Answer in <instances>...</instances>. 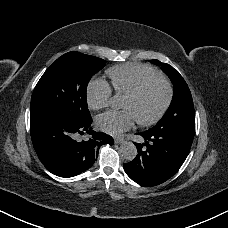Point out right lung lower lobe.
Masks as SVG:
<instances>
[{
    "label": "right lung lower lobe",
    "instance_id": "obj_1",
    "mask_svg": "<svg viewBox=\"0 0 228 228\" xmlns=\"http://www.w3.org/2000/svg\"><path fill=\"white\" fill-rule=\"evenodd\" d=\"M91 123L92 119L83 123L56 117L30 119L33 146L51 173L60 177L78 175L95 162L101 145H113V138L93 131Z\"/></svg>",
    "mask_w": 228,
    "mask_h": 228
}]
</instances>
